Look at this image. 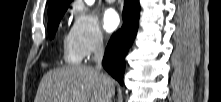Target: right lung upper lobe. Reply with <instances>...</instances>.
<instances>
[{
	"mask_svg": "<svg viewBox=\"0 0 221 102\" xmlns=\"http://www.w3.org/2000/svg\"><path fill=\"white\" fill-rule=\"evenodd\" d=\"M72 0H49L48 18H51L56 12L68 8V3Z\"/></svg>",
	"mask_w": 221,
	"mask_h": 102,
	"instance_id": "1",
	"label": "right lung upper lobe"
}]
</instances>
